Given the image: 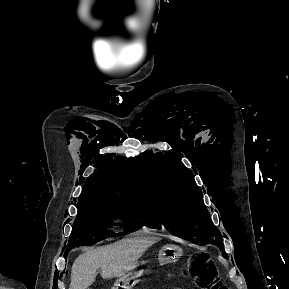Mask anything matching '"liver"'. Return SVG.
Returning a JSON list of instances; mask_svg holds the SVG:
<instances>
[{"mask_svg":"<svg viewBox=\"0 0 289 289\" xmlns=\"http://www.w3.org/2000/svg\"><path fill=\"white\" fill-rule=\"evenodd\" d=\"M155 242L153 238L122 239L81 254L73 263L69 289H87L99 268L104 279L123 276L135 268L138 259Z\"/></svg>","mask_w":289,"mask_h":289,"instance_id":"obj_1","label":"liver"}]
</instances>
